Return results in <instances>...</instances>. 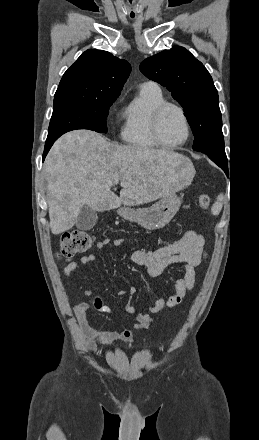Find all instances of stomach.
I'll return each mask as SVG.
<instances>
[{
    "label": "stomach",
    "instance_id": "stomach-1",
    "mask_svg": "<svg viewBox=\"0 0 259 440\" xmlns=\"http://www.w3.org/2000/svg\"><path fill=\"white\" fill-rule=\"evenodd\" d=\"M180 205L181 199L174 193L163 197L151 207H123L118 210V214L124 220L137 223L147 230H157L165 227L173 219Z\"/></svg>",
    "mask_w": 259,
    "mask_h": 440
}]
</instances>
